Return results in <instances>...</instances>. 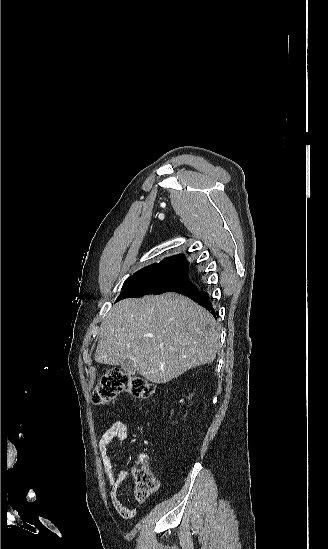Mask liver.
I'll use <instances>...</instances> for the list:
<instances>
[{
  "label": "liver",
  "instance_id": "obj_1",
  "mask_svg": "<svg viewBox=\"0 0 328 549\" xmlns=\"http://www.w3.org/2000/svg\"><path fill=\"white\" fill-rule=\"evenodd\" d=\"M219 327L211 313L175 293L125 299L112 307L100 327L96 363L134 361L151 383H168L185 371L213 363Z\"/></svg>",
  "mask_w": 328,
  "mask_h": 549
}]
</instances>
